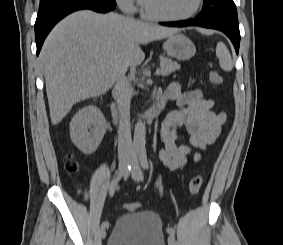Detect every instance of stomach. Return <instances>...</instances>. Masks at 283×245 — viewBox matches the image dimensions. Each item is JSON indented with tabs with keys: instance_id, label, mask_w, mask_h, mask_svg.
<instances>
[{
	"instance_id": "0dacf381",
	"label": "stomach",
	"mask_w": 283,
	"mask_h": 245,
	"mask_svg": "<svg viewBox=\"0 0 283 245\" xmlns=\"http://www.w3.org/2000/svg\"><path fill=\"white\" fill-rule=\"evenodd\" d=\"M163 48L171 57L183 61L191 59L196 53L194 43L181 33L169 36L163 44Z\"/></svg>"
}]
</instances>
